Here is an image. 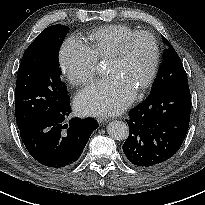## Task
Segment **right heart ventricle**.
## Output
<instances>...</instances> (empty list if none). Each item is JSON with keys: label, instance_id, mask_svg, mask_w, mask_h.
Masks as SVG:
<instances>
[{"label": "right heart ventricle", "instance_id": "obj_1", "mask_svg": "<svg viewBox=\"0 0 205 205\" xmlns=\"http://www.w3.org/2000/svg\"><path fill=\"white\" fill-rule=\"evenodd\" d=\"M136 32L129 26L114 24L93 31L88 37V47L99 61H108L123 40Z\"/></svg>", "mask_w": 205, "mask_h": 205}]
</instances>
